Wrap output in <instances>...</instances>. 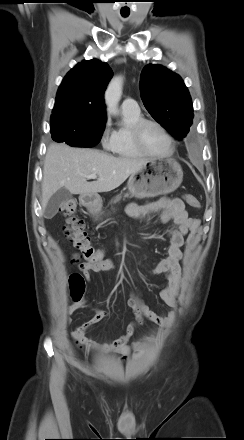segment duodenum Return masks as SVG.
Here are the masks:
<instances>
[{"instance_id": "duodenum-1", "label": "duodenum", "mask_w": 244, "mask_h": 440, "mask_svg": "<svg viewBox=\"0 0 244 440\" xmlns=\"http://www.w3.org/2000/svg\"><path fill=\"white\" fill-rule=\"evenodd\" d=\"M91 199L89 197H84L83 202H89Z\"/></svg>"}]
</instances>
